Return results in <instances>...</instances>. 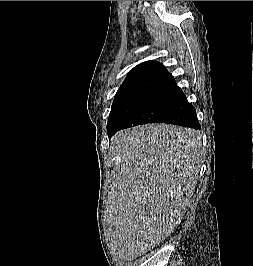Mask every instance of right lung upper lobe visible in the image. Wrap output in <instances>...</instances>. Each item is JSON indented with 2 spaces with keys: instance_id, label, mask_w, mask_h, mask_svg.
Segmentation results:
<instances>
[{
  "instance_id": "obj_1",
  "label": "right lung upper lobe",
  "mask_w": 253,
  "mask_h": 266,
  "mask_svg": "<svg viewBox=\"0 0 253 266\" xmlns=\"http://www.w3.org/2000/svg\"><path fill=\"white\" fill-rule=\"evenodd\" d=\"M172 85L176 82L165 67L156 61H146L135 66L119 87L115 99L129 93L156 86Z\"/></svg>"
}]
</instances>
